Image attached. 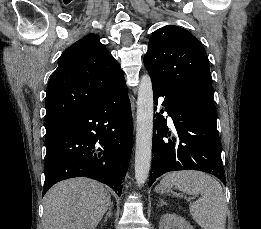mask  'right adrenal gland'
<instances>
[{
  "mask_svg": "<svg viewBox=\"0 0 261 229\" xmlns=\"http://www.w3.org/2000/svg\"><path fill=\"white\" fill-rule=\"evenodd\" d=\"M112 207H113V203H110V205L108 207V213L104 217V223H107L108 219H111V217H112Z\"/></svg>",
  "mask_w": 261,
  "mask_h": 229,
  "instance_id": "obj_1",
  "label": "right adrenal gland"
}]
</instances>
